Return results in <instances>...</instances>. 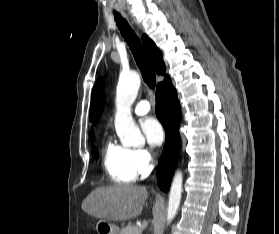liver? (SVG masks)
<instances>
[{
	"label": "liver",
	"instance_id": "6515ba94",
	"mask_svg": "<svg viewBox=\"0 0 279 234\" xmlns=\"http://www.w3.org/2000/svg\"><path fill=\"white\" fill-rule=\"evenodd\" d=\"M148 198L146 187L114 185L93 190L82 202V210L106 221H126L142 212Z\"/></svg>",
	"mask_w": 279,
	"mask_h": 234
}]
</instances>
